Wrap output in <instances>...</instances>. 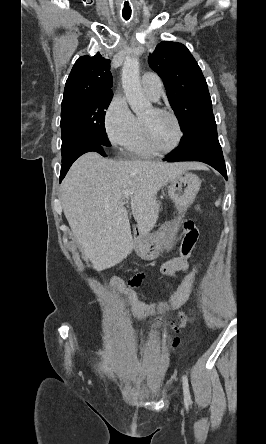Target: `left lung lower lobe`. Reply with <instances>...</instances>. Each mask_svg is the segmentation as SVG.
I'll return each instance as SVG.
<instances>
[{
  "instance_id": "1",
  "label": "left lung lower lobe",
  "mask_w": 266,
  "mask_h": 444,
  "mask_svg": "<svg viewBox=\"0 0 266 444\" xmlns=\"http://www.w3.org/2000/svg\"><path fill=\"white\" fill-rule=\"evenodd\" d=\"M163 160L168 162L201 161L215 168L227 180L214 116H208L187 130L180 145Z\"/></svg>"
}]
</instances>
